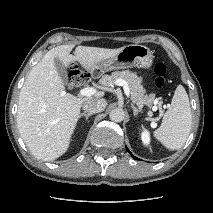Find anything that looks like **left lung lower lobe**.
Segmentation results:
<instances>
[{"label": "left lung lower lobe", "instance_id": "1", "mask_svg": "<svg viewBox=\"0 0 213 213\" xmlns=\"http://www.w3.org/2000/svg\"><path fill=\"white\" fill-rule=\"evenodd\" d=\"M127 151L130 153V151L127 149ZM130 155L135 159V160H138V158L137 157H134L131 153H130Z\"/></svg>", "mask_w": 213, "mask_h": 213}]
</instances>
